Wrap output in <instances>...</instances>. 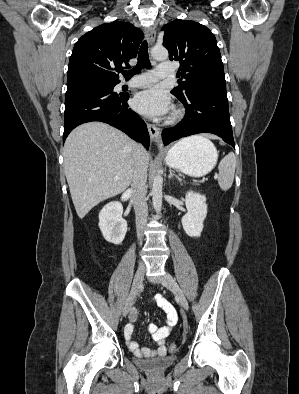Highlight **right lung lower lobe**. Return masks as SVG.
I'll list each match as a JSON object with an SVG mask.
<instances>
[{"label":"right lung lower lobe","instance_id":"98d812e1","mask_svg":"<svg viewBox=\"0 0 299 394\" xmlns=\"http://www.w3.org/2000/svg\"><path fill=\"white\" fill-rule=\"evenodd\" d=\"M119 82L93 83L67 88L63 140L78 125L91 121L108 123L149 148L144 121L127 104L128 94L113 92Z\"/></svg>","mask_w":299,"mask_h":394}]
</instances>
